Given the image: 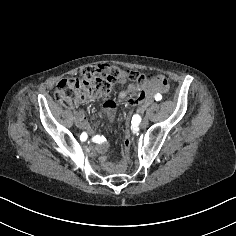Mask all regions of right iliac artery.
I'll return each mask as SVG.
<instances>
[{"instance_id": "1", "label": "right iliac artery", "mask_w": 236, "mask_h": 236, "mask_svg": "<svg viewBox=\"0 0 236 236\" xmlns=\"http://www.w3.org/2000/svg\"><path fill=\"white\" fill-rule=\"evenodd\" d=\"M86 139H87V134H86V132H83L80 136V140L81 141H86Z\"/></svg>"}]
</instances>
